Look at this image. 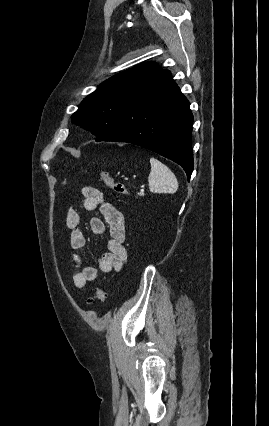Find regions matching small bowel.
Here are the masks:
<instances>
[{
    "label": "small bowel",
    "mask_w": 269,
    "mask_h": 426,
    "mask_svg": "<svg viewBox=\"0 0 269 426\" xmlns=\"http://www.w3.org/2000/svg\"><path fill=\"white\" fill-rule=\"evenodd\" d=\"M83 205L85 210L99 209L101 216L90 219V229L94 235H101L108 230V251L97 260V268L86 265L80 255L85 246L86 238L81 229V217L73 209L65 214V224L71 231L70 249L72 265L69 267V275L73 284L78 289H83L88 283L94 282L98 270L102 273L119 271L127 262V252L124 246L125 222L123 215L108 202L100 189L92 186L82 188Z\"/></svg>",
    "instance_id": "obj_1"
}]
</instances>
